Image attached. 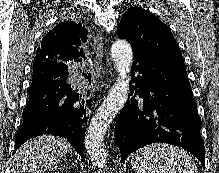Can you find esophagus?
Segmentation results:
<instances>
[{
    "instance_id": "esophagus-1",
    "label": "esophagus",
    "mask_w": 219,
    "mask_h": 173,
    "mask_svg": "<svg viewBox=\"0 0 219 173\" xmlns=\"http://www.w3.org/2000/svg\"><path fill=\"white\" fill-rule=\"evenodd\" d=\"M93 48L96 51L97 57L101 59L103 57V37L101 33L94 37Z\"/></svg>"
}]
</instances>
